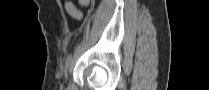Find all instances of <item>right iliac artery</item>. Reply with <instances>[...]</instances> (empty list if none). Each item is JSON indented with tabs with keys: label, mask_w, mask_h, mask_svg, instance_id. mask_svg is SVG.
<instances>
[{
	"label": "right iliac artery",
	"mask_w": 209,
	"mask_h": 90,
	"mask_svg": "<svg viewBox=\"0 0 209 90\" xmlns=\"http://www.w3.org/2000/svg\"><path fill=\"white\" fill-rule=\"evenodd\" d=\"M72 59V55H68L67 58H66V63L70 62Z\"/></svg>",
	"instance_id": "obj_1"
}]
</instances>
